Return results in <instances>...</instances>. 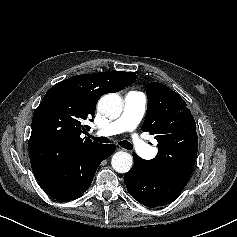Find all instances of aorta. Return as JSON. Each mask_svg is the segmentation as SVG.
Here are the masks:
<instances>
[{"label": "aorta", "instance_id": "1", "mask_svg": "<svg viewBox=\"0 0 237 237\" xmlns=\"http://www.w3.org/2000/svg\"><path fill=\"white\" fill-rule=\"evenodd\" d=\"M98 111L105 117L116 119L123 110L122 99L115 93L102 96L98 101ZM133 164L132 156L123 151L115 153L111 160L113 169L118 173L128 172Z\"/></svg>", "mask_w": 237, "mask_h": 237}]
</instances>
